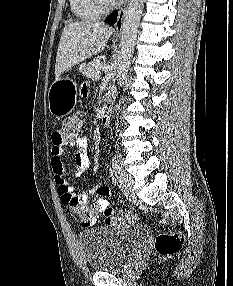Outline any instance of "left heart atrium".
<instances>
[{
    "label": "left heart atrium",
    "mask_w": 233,
    "mask_h": 286,
    "mask_svg": "<svg viewBox=\"0 0 233 286\" xmlns=\"http://www.w3.org/2000/svg\"><path fill=\"white\" fill-rule=\"evenodd\" d=\"M112 1H114V2H119L120 0H112Z\"/></svg>",
    "instance_id": "obj_1"
}]
</instances>
